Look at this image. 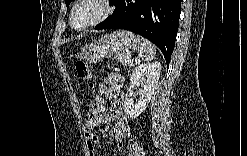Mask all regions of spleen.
Listing matches in <instances>:
<instances>
[{
	"label": "spleen",
	"mask_w": 247,
	"mask_h": 156,
	"mask_svg": "<svg viewBox=\"0 0 247 156\" xmlns=\"http://www.w3.org/2000/svg\"><path fill=\"white\" fill-rule=\"evenodd\" d=\"M137 40L139 42V58L144 61H151L154 59L156 54V48L155 46L148 41L147 39L137 36Z\"/></svg>",
	"instance_id": "spleen-1"
}]
</instances>
